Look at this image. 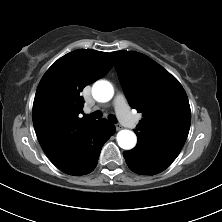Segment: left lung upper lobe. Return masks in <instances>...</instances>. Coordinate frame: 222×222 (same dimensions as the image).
<instances>
[{
    "instance_id": "1",
    "label": "left lung upper lobe",
    "mask_w": 222,
    "mask_h": 222,
    "mask_svg": "<svg viewBox=\"0 0 222 222\" xmlns=\"http://www.w3.org/2000/svg\"><path fill=\"white\" fill-rule=\"evenodd\" d=\"M131 107L142 113L138 144L173 162L189 133L191 111L182 85L148 56L133 51L111 53Z\"/></svg>"
}]
</instances>
